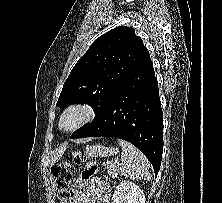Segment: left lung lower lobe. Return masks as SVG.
I'll return each instance as SVG.
<instances>
[{
  "instance_id": "1",
  "label": "left lung lower lobe",
  "mask_w": 222,
  "mask_h": 203,
  "mask_svg": "<svg viewBox=\"0 0 222 203\" xmlns=\"http://www.w3.org/2000/svg\"><path fill=\"white\" fill-rule=\"evenodd\" d=\"M163 113L149 52L115 90L100 114L75 138L116 137L136 146L157 175L163 151Z\"/></svg>"
}]
</instances>
